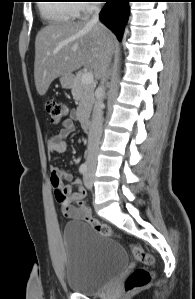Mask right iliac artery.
Segmentation results:
<instances>
[{
  "label": "right iliac artery",
  "mask_w": 195,
  "mask_h": 299,
  "mask_svg": "<svg viewBox=\"0 0 195 299\" xmlns=\"http://www.w3.org/2000/svg\"><path fill=\"white\" fill-rule=\"evenodd\" d=\"M86 171H87V164L86 163L81 164L79 167V172L84 175Z\"/></svg>",
  "instance_id": "obj_1"
}]
</instances>
